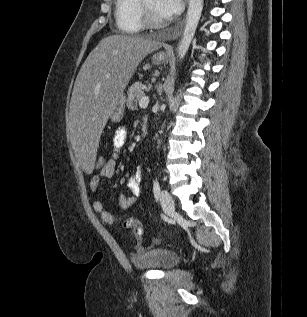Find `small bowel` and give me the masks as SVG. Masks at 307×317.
<instances>
[{
	"instance_id": "obj_1",
	"label": "small bowel",
	"mask_w": 307,
	"mask_h": 317,
	"mask_svg": "<svg viewBox=\"0 0 307 317\" xmlns=\"http://www.w3.org/2000/svg\"><path fill=\"white\" fill-rule=\"evenodd\" d=\"M127 137L128 133L125 127H120L115 131L113 136V147L115 154L109 161H107L105 166L91 178L89 186L92 193L97 192L101 178H112L114 176L118 152L125 146ZM142 176V168L137 167L127 181V188L130 194H120L118 196V203L123 209L131 208L136 203L137 198L141 195ZM93 208L101 216L105 223L113 224L115 222V216L106 210L100 200L94 201Z\"/></svg>"
}]
</instances>
